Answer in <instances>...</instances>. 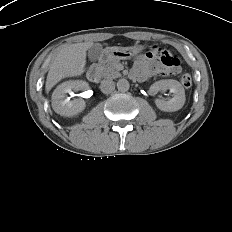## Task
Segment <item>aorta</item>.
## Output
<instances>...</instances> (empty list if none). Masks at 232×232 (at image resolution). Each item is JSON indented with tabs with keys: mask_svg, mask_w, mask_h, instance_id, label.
Wrapping results in <instances>:
<instances>
[{
	"mask_svg": "<svg viewBox=\"0 0 232 232\" xmlns=\"http://www.w3.org/2000/svg\"><path fill=\"white\" fill-rule=\"evenodd\" d=\"M130 87V84L127 79H119L117 82V88L119 91H128Z\"/></svg>",
	"mask_w": 232,
	"mask_h": 232,
	"instance_id": "obj_1",
	"label": "aorta"
}]
</instances>
